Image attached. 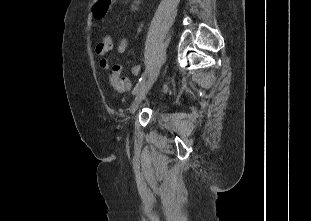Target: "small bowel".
<instances>
[{
	"mask_svg": "<svg viewBox=\"0 0 311 221\" xmlns=\"http://www.w3.org/2000/svg\"><path fill=\"white\" fill-rule=\"evenodd\" d=\"M131 6L133 10H137L138 6L140 4V0H132L131 1ZM97 46H112V49L114 47L113 39L111 35L106 34L102 37L101 41L97 44ZM128 47V40L125 37H120L117 48H116V53L117 55H122ZM100 57L99 59V67L106 71L109 69V60L106 57L107 53H97ZM131 72L134 75H138L140 72V67L138 64L134 63L131 67ZM132 83L128 79V85L125 88L120 89L119 91H127L131 88Z\"/></svg>",
	"mask_w": 311,
	"mask_h": 221,
	"instance_id": "1",
	"label": "small bowel"
}]
</instances>
